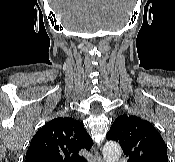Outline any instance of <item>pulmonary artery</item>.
I'll return each instance as SVG.
<instances>
[{
    "label": "pulmonary artery",
    "instance_id": "obj_1",
    "mask_svg": "<svg viewBox=\"0 0 175 162\" xmlns=\"http://www.w3.org/2000/svg\"><path fill=\"white\" fill-rule=\"evenodd\" d=\"M117 162H124L123 160H118Z\"/></svg>",
    "mask_w": 175,
    "mask_h": 162
}]
</instances>
